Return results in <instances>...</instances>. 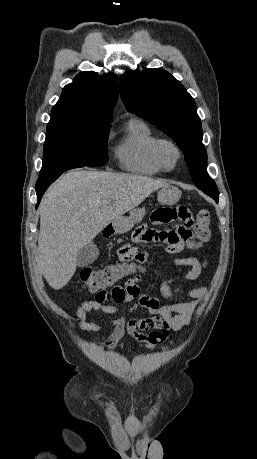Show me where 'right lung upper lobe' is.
I'll use <instances>...</instances> for the list:
<instances>
[{
	"label": "right lung upper lobe",
	"instance_id": "right-lung-upper-lobe-1",
	"mask_svg": "<svg viewBox=\"0 0 257 459\" xmlns=\"http://www.w3.org/2000/svg\"><path fill=\"white\" fill-rule=\"evenodd\" d=\"M117 98L118 77L115 74L82 72L73 83L64 87L50 116L110 125Z\"/></svg>",
	"mask_w": 257,
	"mask_h": 459
}]
</instances>
